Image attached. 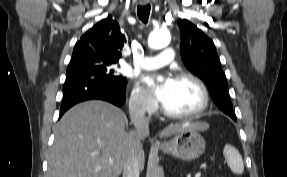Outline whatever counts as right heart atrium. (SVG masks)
Returning a JSON list of instances; mask_svg holds the SVG:
<instances>
[{"instance_id":"right-heart-atrium-1","label":"right heart atrium","mask_w":287,"mask_h":177,"mask_svg":"<svg viewBox=\"0 0 287 177\" xmlns=\"http://www.w3.org/2000/svg\"><path fill=\"white\" fill-rule=\"evenodd\" d=\"M129 107L134 115H150L154 113L156 104L145 89L135 84L130 93Z\"/></svg>"}]
</instances>
